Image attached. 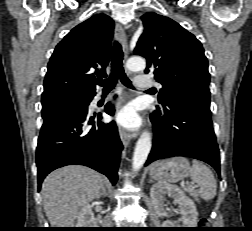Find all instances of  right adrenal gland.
Wrapping results in <instances>:
<instances>
[{
  "mask_svg": "<svg viewBox=\"0 0 252 231\" xmlns=\"http://www.w3.org/2000/svg\"><path fill=\"white\" fill-rule=\"evenodd\" d=\"M101 196H107V192H106V188L103 186L101 192L98 195V198H100Z\"/></svg>",
  "mask_w": 252,
  "mask_h": 231,
  "instance_id": "right-adrenal-gland-1",
  "label": "right adrenal gland"
}]
</instances>
